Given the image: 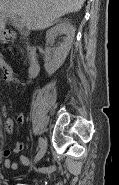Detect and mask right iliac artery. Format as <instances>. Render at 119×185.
Returning a JSON list of instances; mask_svg holds the SVG:
<instances>
[{
  "label": "right iliac artery",
  "instance_id": "obj_1",
  "mask_svg": "<svg viewBox=\"0 0 119 185\" xmlns=\"http://www.w3.org/2000/svg\"><path fill=\"white\" fill-rule=\"evenodd\" d=\"M38 143H39V147H40L42 145V138H39Z\"/></svg>",
  "mask_w": 119,
  "mask_h": 185
}]
</instances>
